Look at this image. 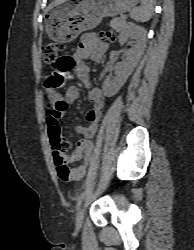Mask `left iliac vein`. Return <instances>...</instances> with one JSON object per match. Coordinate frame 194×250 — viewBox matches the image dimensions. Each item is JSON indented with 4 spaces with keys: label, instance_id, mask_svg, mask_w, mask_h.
I'll return each instance as SVG.
<instances>
[{
    "label": "left iliac vein",
    "instance_id": "4c4485c4",
    "mask_svg": "<svg viewBox=\"0 0 194 250\" xmlns=\"http://www.w3.org/2000/svg\"><path fill=\"white\" fill-rule=\"evenodd\" d=\"M84 214H85V206H83V207L79 210V212H78V214H77V219H76V221H77V228H80V227H81L82 222H83V218H84Z\"/></svg>",
    "mask_w": 194,
    "mask_h": 250
}]
</instances>
